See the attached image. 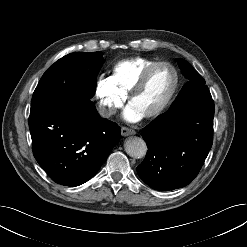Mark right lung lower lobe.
<instances>
[{
	"mask_svg": "<svg viewBox=\"0 0 247 247\" xmlns=\"http://www.w3.org/2000/svg\"><path fill=\"white\" fill-rule=\"evenodd\" d=\"M33 154L48 176L64 186L92 178L119 142L120 127L99 116L95 105L50 101L30 112Z\"/></svg>",
	"mask_w": 247,
	"mask_h": 247,
	"instance_id": "right-lung-lower-lobe-1",
	"label": "right lung lower lobe"
}]
</instances>
